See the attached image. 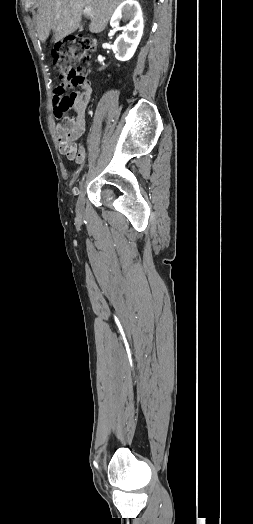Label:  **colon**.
Listing matches in <instances>:
<instances>
[{"label": "colon", "mask_w": 253, "mask_h": 524, "mask_svg": "<svg viewBox=\"0 0 253 524\" xmlns=\"http://www.w3.org/2000/svg\"><path fill=\"white\" fill-rule=\"evenodd\" d=\"M93 49L92 41L83 35H68L56 46L53 53V66L59 74L61 82V98L54 103L55 113L64 120V129L70 131L75 127V122L68 117L74 106V93L67 94V90L79 87L76 93L88 97L93 93L92 81L87 76L83 67H75L77 61L86 62L88 53Z\"/></svg>", "instance_id": "1"}]
</instances>
